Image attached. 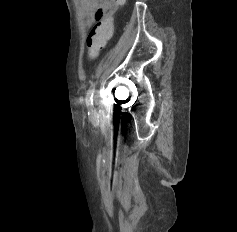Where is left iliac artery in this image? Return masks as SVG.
<instances>
[{
  "label": "left iliac artery",
  "instance_id": "1",
  "mask_svg": "<svg viewBox=\"0 0 237 232\" xmlns=\"http://www.w3.org/2000/svg\"><path fill=\"white\" fill-rule=\"evenodd\" d=\"M95 88H96V84L93 82L91 83L88 91H87V96H86V105L92 109L93 106V96L95 93Z\"/></svg>",
  "mask_w": 237,
  "mask_h": 232
}]
</instances>
